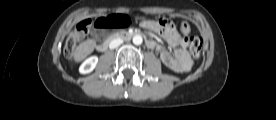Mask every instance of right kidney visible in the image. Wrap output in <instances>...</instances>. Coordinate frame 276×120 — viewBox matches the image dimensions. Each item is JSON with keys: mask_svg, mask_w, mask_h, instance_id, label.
I'll use <instances>...</instances> for the list:
<instances>
[{"mask_svg": "<svg viewBox=\"0 0 276 120\" xmlns=\"http://www.w3.org/2000/svg\"><path fill=\"white\" fill-rule=\"evenodd\" d=\"M98 63V57L97 56H91L87 58L80 66L79 72L82 74L90 73L94 70Z\"/></svg>", "mask_w": 276, "mask_h": 120, "instance_id": "right-kidney-1", "label": "right kidney"}]
</instances>
